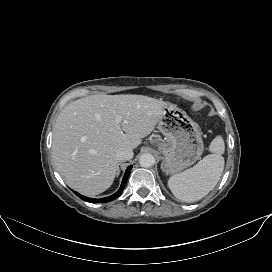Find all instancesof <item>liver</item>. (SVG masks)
<instances>
[{"label":"liver","instance_id":"1","mask_svg":"<svg viewBox=\"0 0 272 272\" xmlns=\"http://www.w3.org/2000/svg\"><path fill=\"white\" fill-rule=\"evenodd\" d=\"M167 105L159 99L127 94H97L71 102L58 115L53 130L57 171L69 187L84 195L104 192L117 173L116 150L138 147Z\"/></svg>","mask_w":272,"mask_h":272}]
</instances>
